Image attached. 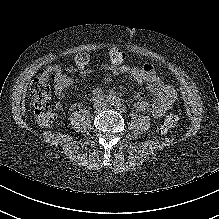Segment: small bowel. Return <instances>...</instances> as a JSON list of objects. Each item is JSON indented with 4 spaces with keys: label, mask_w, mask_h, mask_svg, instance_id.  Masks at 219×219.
<instances>
[{
    "label": "small bowel",
    "mask_w": 219,
    "mask_h": 219,
    "mask_svg": "<svg viewBox=\"0 0 219 219\" xmlns=\"http://www.w3.org/2000/svg\"><path fill=\"white\" fill-rule=\"evenodd\" d=\"M110 61L112 65L108 66L107 69L111 74L129 75L136 83L144 85L154 99L150 103L145 94L139 92L131 99L133 106L140 111L150 110L155 118L163 117L176 99L175 88L156 72L152 64L146 63L142 66L127 64V55L120 49H112L110 51ZM85 65L86 63L83 64L76 60L74 70L83 72ZM53 69L58 72V77L54 83V94L57 99L61 100L64 98L65 89L73 85V79L63 74L58 66L53 67ZM103 81L109 82L110 78L106 77ZM102 94L103 90L101 88L94 89L95 96L99 97ZM56 108L61 109V104L57 103Z\"/></svg>",
    "instance_id": "small-bowel-1"
}]
</instances>
